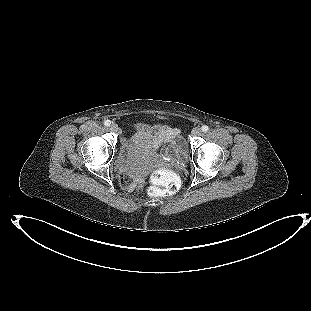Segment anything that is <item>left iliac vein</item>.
<instances>
[{
    "label": "left iliac vein",
    "instance_id": "4c4485c4",
    "mask_svg": "<svg viewBox=\"0 0 311 311\" xmlns=\"http://www.w3.org/2000/svg\"><path fill=\"white\" fill-rule=\"evenodd\" d=\"M201 133H202V131H201V128H199V127H195L192 130V135L193 136H199V135H201Z\"/></svg>",
    "mask_w": 311,
    "mask_h": 311
}]
</instances>
